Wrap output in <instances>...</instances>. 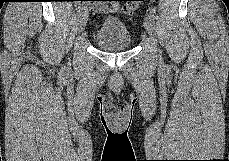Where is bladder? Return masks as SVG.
Returning <instances> with one entry per match:
<instances>
[{"mask_svg":"<svg viewBox=\"0 0 229 161\" xmlns=\"http://www.w3.org/2000/svg\"><path fill=\"white\" fill-rule=\"evenodd\" d=\"M93 40L104 51H122L131 47L132 37L124 22L117 17L104 18Z\"/></svg>","mask_w":229,"mask_h":161,"instance_id":"1","label":"bladder"}]
</instances>
